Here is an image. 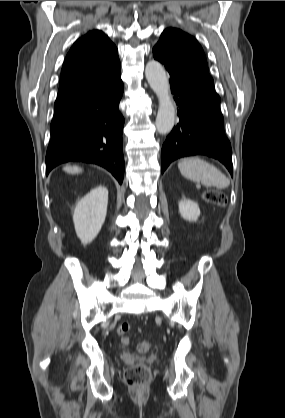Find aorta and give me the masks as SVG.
<instances>
[{"instance_id":"aorta-1","label":"aorta","mask_w":285,"mask_h":418,"mask_svg":"<svg viewBox=\"0 0 285 418\" xmlns=\"http://www.w3.org/2000/svg\"><path fill=\"white\" fill-rule=\"evenodd\" d=\"M146 79L159 100L156 117L158 133H169L175 122L176 109L170 96V86L164 67L157 61H149L145 68Z\"/></svg>"}]
</instances>
